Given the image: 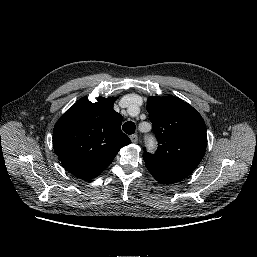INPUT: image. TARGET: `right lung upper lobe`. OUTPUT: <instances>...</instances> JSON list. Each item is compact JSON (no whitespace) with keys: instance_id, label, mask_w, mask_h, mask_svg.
Instances as JSON below:
<instances>
[{"instance_id":"obj_1","label":"right lung upper lobe","mask_w":257,"mask_h":257,"mask_svg":"<svg viewBox=\"0 0 257 257\" xmlns=\"http://www.w3.org/2000/svg\"><path fill=\"white\" fill-rule=\"evenodd\" d=\"M115 100L99 97L92 103L81 99L54 127V151L63 167L79 178L97 177L131 143L120 128L123 117L113 110Z\"/></svg>"}]
</instances>
